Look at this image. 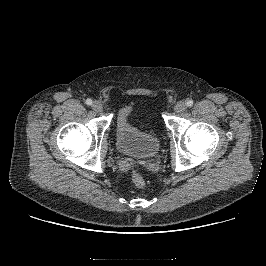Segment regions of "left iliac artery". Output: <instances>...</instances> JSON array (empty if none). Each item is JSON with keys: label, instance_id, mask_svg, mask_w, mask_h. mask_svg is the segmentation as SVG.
<instances>
[{"label": "left iliac artery", "instance_id": "obj_1", "mask_svg": "<svg viewBox=\"0 0 266 266\" xmlns=\"http://www.w3.org/2000/svg\"><path fill=\"white\" fill-rule=\"evenodd\" d=\"M186 105H187L188 107H191V106L193 105V100L188 99V100L186 101Z\"/></svg>", "mask_w": 266, "mask_h": 266}]
</instances>
